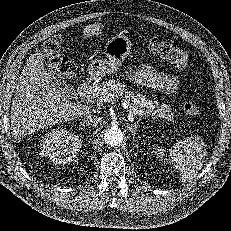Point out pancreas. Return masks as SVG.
Here are the masks:
<instances>
[{
  "label": "pancreas",
  "mask_w": 231,
  "mask_h": 231,
  "mask_svg": "<svg viewBox=\"0 0 231 231\" xmlns=\"http://www.w3.org/2000/svg\"><path fill=\"white\" fill-rule=\"evenodd\" d=\"M89 98L91 100L103 99L101 103H114L120 99H125L129 104L128 110L133 115H140V113L141 115L147 114L155 118H164L167 121H172L174 118V113L169 105L164 103L159 104L157 101L146 99L144 95L137 91H127L124 83L116 82L114 79L104 81L101 85L96 86Z\"/></svg>",
  "instance_id": "1"
}]
</instances>
